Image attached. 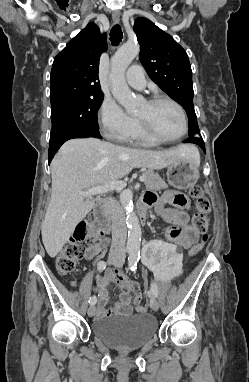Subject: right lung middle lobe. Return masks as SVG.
Here are the masks:
<instances>
[{"mask_svg": "<svg viewBox=\"0 0 249 382\" xmlns=\"http://www.w3.org/2000/svg\"><path fill=\"white\" fill-rule=\"evenodd\" d=\"M104 95L94 98L70 99L51 105L52 130L50 139L80 130H98L97 111Z\"/></svg>", "mask_w": 249, "mask_h": 382, "instance_id": "obj_1", "label": "right lung middle lobe"}]
</instances>
